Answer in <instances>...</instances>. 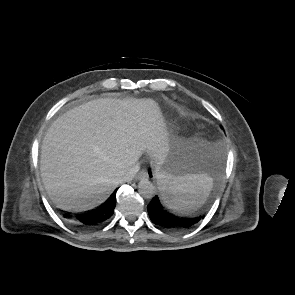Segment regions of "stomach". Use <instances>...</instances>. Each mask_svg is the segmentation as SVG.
Here are the masks:
<instances>
[{
  "label": "stomach",
  "mask_w": 295,
  "mask_h": 295,
  "mask_svg": "<svg viewBox=\"0 0 295 295\" xmlns=\"http://www.w3.org/2000/svg\"><path fill=\"white\" fill-rule=\"evenodd\" d=\"M209 149V145L199 140L182 142L177 149L169 152L165 160L156 167V172L171 176L207 174L209 166L206 153Z\"/></svg>",
  "instance_id": "0dacf381"
}]
</instances>
